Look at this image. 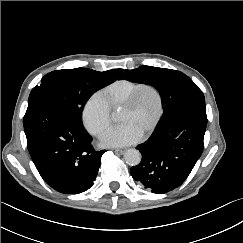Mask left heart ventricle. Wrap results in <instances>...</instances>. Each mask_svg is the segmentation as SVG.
Segmentation results:
<instances>
[{
	"mask_svg": "<svg viewBox=\"0 0 243 243\" xmlns=\"http://www.w3.org/2000/svg\"><path fill=\"white\" fill-rule=\"evenodd\" d=\"M158 97L152 89L140 95L137 106L131 110H121L120 122L129 123L144 134L153 124L158 113Z\"/></svg>",
	"mask_w": 243,
	"mask_h": 243,
	"instance_id": "left-heart-ventricle-1",
	"label": "left heart ventricle"
}]
</instances>
